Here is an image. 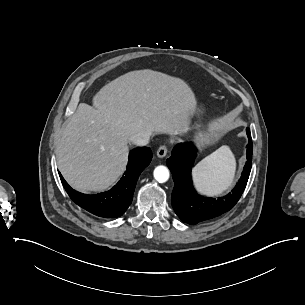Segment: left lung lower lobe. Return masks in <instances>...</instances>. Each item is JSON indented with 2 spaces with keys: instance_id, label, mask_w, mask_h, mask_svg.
Listing matches in <instances>:
<instances>
[{
  "instance_id": "obj_1",
  "label": "left lung lower lobe",
  "mask_w": 305,
  "mask_h": 305,
  "mask_svg": "<svg viewBox=\"0 0 305 305\" xmlns=\"http://www.w3.org/2000/svg\"><path fill=\"white\" fill-rule=\"evenodd\" d=\"M246 133L248 136L247 163L242 176L231 193L218 199L202 197L192 186L191 167L196 157V148L193 144L179 143L173 148L172 156L166 163L174 180L172 207L183 222L195 225L212 219L229 211L238 202L246 187L252 166L253 143L249 128Z\"/></svg>"
}]
</instances>
